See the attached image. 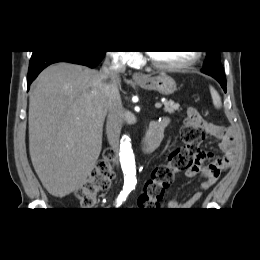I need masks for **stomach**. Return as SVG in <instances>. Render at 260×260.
<instances>
[{
    "label": "stomach",
    "mask_w": 260,
    "mask_h": 260,
    "mask_svg": "<svg viewBox=\"0 0 260 260\" xmlns=\"http://www.w3.org/2000/svg\"><path fill=\"white\" fill-rule=\"evenodd\" d=\"M136 83L145 90L157 91L164 96L171 95L177 90L175 80L167 74L147 77L144 81H136Z\"/></svg>",
    "instance_id": "stomach-1"
}]
</instances>
